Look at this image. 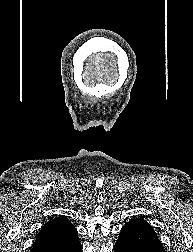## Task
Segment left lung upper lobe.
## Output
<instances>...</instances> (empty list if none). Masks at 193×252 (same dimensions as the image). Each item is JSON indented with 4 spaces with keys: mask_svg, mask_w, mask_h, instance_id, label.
<instances>
[{
    "mask_svg": "<svg viewBox=\"0 0 193 252\" xmlns=\"http://www.w3.org/2000/svg\"><path fill=\"white\" fill-rule=\"evenodd\" d=\"M131 223H147V222L143 219H132L127 224H131Z\"/></svg>",
    "mask_w": 193,
    "mask_h": 252,
    "instance_id": "1",
    "label": "left lung upper lobe"
}]
</instances>
